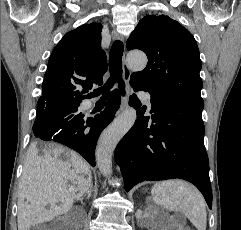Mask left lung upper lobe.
<instances>
[{
	"instance_id": "5c2ea615",
	"label": "left lung upper lobe",
	"mask_w": 241,
	"mask_h": 230,
	"mask_svg": "<svg viewBox=\"0 0 241 230\" xmlns=\"http://www.w3.org/2000/svg\"><path fill=\"white\" fill-rule=\"evenodd\" d=\"M128 50H143L148 64L130 81L144 90L203 110L201 60L193 35L165 15L142 18L127 41Z\"/></svg>"
}]
</instances>
